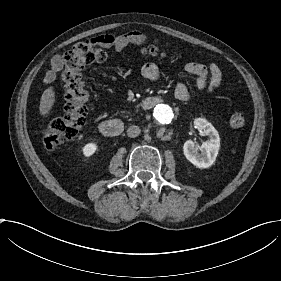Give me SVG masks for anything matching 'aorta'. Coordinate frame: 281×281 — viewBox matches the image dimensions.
<instances>
[{"mask_svg":"<svg viewBox=\"0 0 281 281\" xmlns=\"http://www.w3.org/2000/svg\"><path fill=\"white\" fill-rule=\"evenodd\" d=\"M153 116L155 118V122L158 125L163 126L171 123L174 114L170 106L166 104H159L154 108Z\"/></svg>","mask_w":281,"mask_h":281,"instance_id":"aorta-1","label":"aorta"}]
</instances>
